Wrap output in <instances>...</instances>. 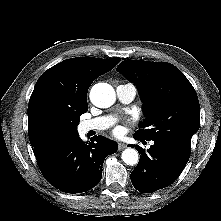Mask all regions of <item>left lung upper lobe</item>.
Segmentation results:
<instances>
[{"mask_svg":"<svg viewBox=\"0 0 221 221\" xmlns=\"http://www.w3.org/2000/svg\"><path fill=\"white\" fill-rule=\"evenodd\" d=\"M116 71L137 86L146 119L135 137L170 142L191 152V138L200 126L197 94L174 65L166 62L125 60Z\"/></svg>","mask_w":221,"mask_h":221,"instance_id":"5c2ea615","label":"left lung upper lobe"}]
</instances>
